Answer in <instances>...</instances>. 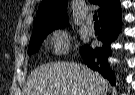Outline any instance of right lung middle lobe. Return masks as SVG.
I'll list each match as a JSON object with an SVG mask.
<instances>
[{"label": "right lung middle lobe", "mask_w": 135, "mask_h": 95, "mask_svg": "<svg viewBox=\"0 0 135 95\" xmlns=\"http://www.w3.org/2000/svg\"><path fill=\"white\" fill-rule=\"evenodd\" d=\"M50 32L51 30H45L33 33L29 44V51H28L29 55L36 53L38 51L40 44Z\"/></svg>", "instance_id": "dd1d6c3e"}]
</instances>
